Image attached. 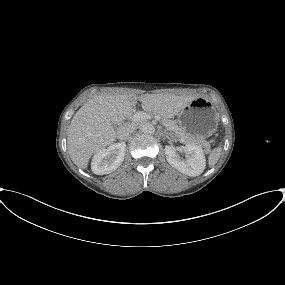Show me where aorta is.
I'll return each instance as SVG.
<instances>
[{
	"label": "aorta",
	"mask_w": 285,
	"mask_h": 285,
	"mask_svg": "<svg viewBox=\"0 0 285 285\" xmlns=\"http://www.w3.org/2000/svg\"><path fill=\"white\" fill-rule=\"evenodd\" d=\"M142 132L145 134H153L155 132V128L152 124L146 123L142 126Z\"/></svg>",
	"instance_id": "aorta-1"
}]
</instances>
